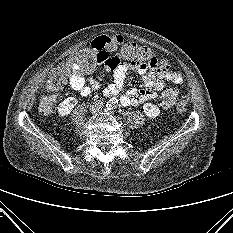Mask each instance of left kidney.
<instances>
[{
  "instance_id": "obj_1",
  "label": "left kidney",
  "mask_w": 233,
  "mask_h": 233,
  "mask_svg": "<svg viewBox=\"0 0 233 233\" xmlns=\"http://www.w3.org/2000/svg\"><path fill=\"white\" fill-rule=\"evenodd\" d=\"M144 113L149 118H155L160 114L159 108L151 103H145L143 106Z\"/></svg>"
}]
</instances>
